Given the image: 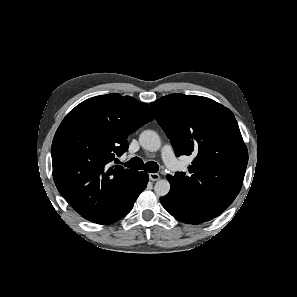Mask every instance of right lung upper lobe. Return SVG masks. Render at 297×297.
I'll return each mask as SVG.
<instances>
[{"mask_svg":"<svg viewBox=\"0 0 297 297\" xmlns=\"http://www.w3.org/2000/svg\"><path fill=\"white\" fill-rule=\"evenodd\" d=\"M153 119L146 103L118 93L89 98L64 118L52 143L53 178L82 217H99L137 172L113 161L127 151L128 135Z\"/></svg>","mask_w":297,"mask_h":297,"instance_id":"cb5924a9","label":"right lung upper lobe"}]
</instances>
